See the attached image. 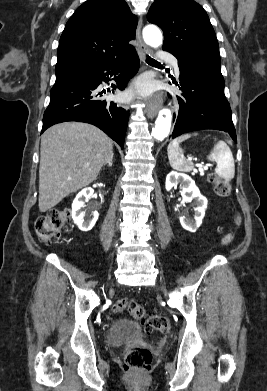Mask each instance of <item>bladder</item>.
Instances as JSON below:
<instances>
[{"label":"bladder","mask_w":267,"mask_h":391,"mask_svg":"<svg viewBox=\"0 0 267 391\" xmlns=\"http://www.w3.org/2000/svg\"><path fill=\"white\" fill-rule=\"evenodd\" d=\"M137 331V326L131 321L117 320L111 324L106 333V338L111 345H117L128 338L134 337Z\"/></svg>","instance_id":"1"}]
</instances>
